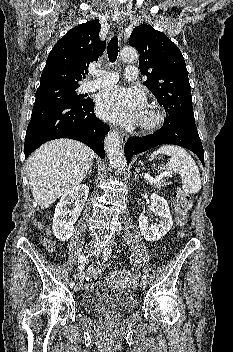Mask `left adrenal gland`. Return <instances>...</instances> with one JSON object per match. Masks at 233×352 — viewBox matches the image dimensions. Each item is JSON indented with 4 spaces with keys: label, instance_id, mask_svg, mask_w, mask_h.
Wrapping results in <instances>:
<instances>
[{
    "label": "left adrenal gland",
    "instance_id": "1",
    "mask_svg": "<svg viewBox=\"0 0 233 352\" xmlns=\"http://www.w3.org/2000/svg\"><path fill=\"white\" fill-rule=\"evenodd\" d=\"M138 172H139L138 169H136L135 172H134V173H135V176H134V180H135V181L139 178Z\"/></svg>",
    "mask_w": 233,
    "mask_h": 352
}]
</instances>
